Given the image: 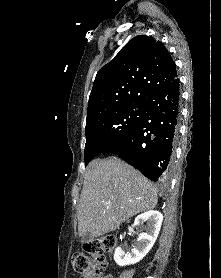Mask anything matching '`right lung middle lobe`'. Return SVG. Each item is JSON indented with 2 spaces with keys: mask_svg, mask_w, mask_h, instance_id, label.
<instances>
[{
  "mask_svg": "<svg viewBox=\"0 0 221 278\" xmlns=\"http://www.w3.org/2000/svg\"><path fill=\"white\" fill-rule=\"evenodd\" d=\"M145 112V102L141 101L86 121L85 166L107 145L133 130Z\"/></svg>",
  "mask_w": 221,
  "mask_h": 278,
  "instance_id": "right-lung-middle-lobe-1",
  "label": "right lung middle lobe"
}]
</instances>
